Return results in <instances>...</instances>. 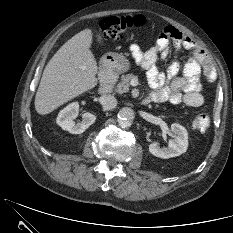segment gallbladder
<instances>
[{"mask_svg": "<svg viewBox=\"0 0 233 233\" xmlns=\"http://www.w3.org/2000/svg\"><path fill=\"white\" fill-rule=\"evenodd\" d=\"M97 42H98V44L102 43V38H101L100 34L97 35Z\"/></svg>", "mask_w": 233, "mask_h": 233, "instance_id": "1", "label": "gallbladder"}]
</instances>
